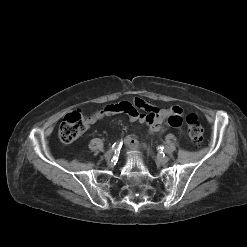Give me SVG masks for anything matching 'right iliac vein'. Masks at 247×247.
Instances as JSON below:
<instances>
[{
	"label": "right iliac vein",
	"mask_w": 247,
	"mask_h": 247,
	"mask_svg": "<svg viewBox=\"0 0 247 247\" xmlns=\"http://www.w3.org/2000/svg\"><path fill=\"white\" fill-rule=\"evenodd\" d=\"M113 155V151L109 150L104 154L105 159L109 160Z\"/></svg>",
	"instance_id": "63e3f726"
}]
</instances>
